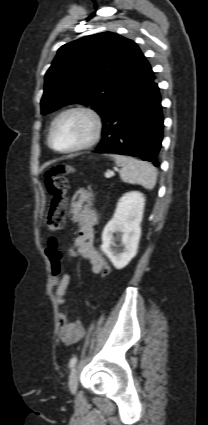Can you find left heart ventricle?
I'll list each match as a JSON object with an SVG mask.
<instances>
[{"instance_id": "1", "label": "left heart ventricle", "mask_w": 208, "mask_h": 425, "mask_svg": "<svg viewBox=\"0 0 208 425\" xmlns=\"http://www.w3.org/2000/svg\"><path fill=\"white\" fill-rule=\"evenodd\" d=\"M92 122L83 114H70L56 126L53 144L59 149H67L84 143L91 135Z\"/></svg>"}]
</instances>
